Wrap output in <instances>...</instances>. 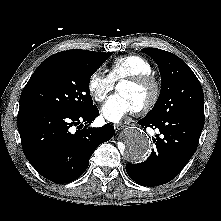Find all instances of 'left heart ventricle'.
<instances>
[{
  "instance_id": "left-heart-ventricle-1",
  "label": "left heart ventricle",
  "mask_w": 221,
  "mask_h": 221,
  "mask_svg": "<svg viewBox=\"0 0 221 221\" xmlns=\"http://www.w3.org/2000/svg\"><path fill=\"white\" fill-rule=\"evenodd\" d=\"M117 91L125 95L135 109L145 104L152 95V89L150 86H138L128 83L119 84Z\"/></svg>"
}]
</instances>
